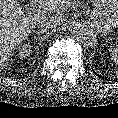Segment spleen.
Wrapping results in <instances>:
<instances>
[{
  "label": "spleen",
  "mask_w": 118,
  "mask_h": 118,
  "mask_svg": "<svg viewBox=\"0 0 118 118\" xmlns=\"http://www.w3.org/2000/svg\"><path fill=\"white\" fill-rule=\"evenodd\" d=\"M111 56L114 62L118 65V44L111 48Z\"/></svg>",
  "instance_id": "1"
}]
</instances>
